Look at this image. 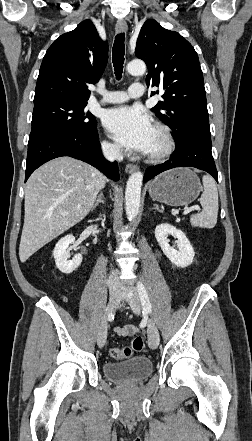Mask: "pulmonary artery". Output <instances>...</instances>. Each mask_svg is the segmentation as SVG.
<instances>
[{
    "label": "pulmonary artery",
    "instance_id": "e3ab8cb5",
    "mask_svg": "<svg viewBox=\"0 0 252 441\" xmlns=\"http://www.w3.org/2000/svg\"><path fill=\"white\" fill-rule=\"evenodd\" d=\"M144 87L141 84H133L128 88V92L112 91L103 95L102 102L118 104L126 102L130 98H139L144 95Z\"/></svg>",
    "mask_w": 252,
    "mask_h": 441
}]
</instances>
